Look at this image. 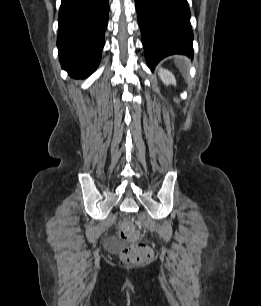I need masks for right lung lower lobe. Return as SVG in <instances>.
<instances>
[{
    "instance_id": "98d812e1",
    "label": "right lung lower lobe",
    "mask_w": 261,
    "mask_h": 306,
    "mask_svg": "<svg viewBox=\"0 0 261 306\" xmlns=\"http://www.w3.org/2000/svg\"><path fill=\"white\" fill-rule=\"evenodd\" d=\"M108 14V0H61L57 47L72 76L89 75L99 65Z\"/></svg>"
}]
</instances>
